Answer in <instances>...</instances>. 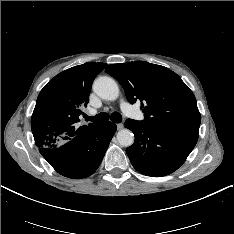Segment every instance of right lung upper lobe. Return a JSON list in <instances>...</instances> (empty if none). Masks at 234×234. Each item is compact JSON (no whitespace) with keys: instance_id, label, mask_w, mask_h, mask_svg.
<instances>
[{"instance_id":"obj_1","label":"right lung upper lobe","mask_w":234,"mask_h":234,"mask_svg":"<svg viewBox=\"0 0 234 234\" xmlns=\"http://www.w3.org/2000/svg\"><path fill=\"white\" fill-rule=\"evenodd\" d=\"M107 64L88 62L67 69L41 90L31 117L35 144L55 147L84 132L95 123L80 126V107L88 103L94 78Z\"/></svg>"}]
</instances>
